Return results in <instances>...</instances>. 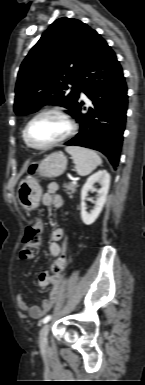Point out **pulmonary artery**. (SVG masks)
<instances>
[{
  "mask_svg": "<svg viewBox=\"0 0 145 385\" xmlns=\"http://www.w3.org/2000/svg\"><path fill=\"white\" fill-rule=\"evenodd\" d=\"M80 96H81V98H82L83 100H87V97H86V95H85L83 92H81Z\"/></svg>",
  "mask_w": 145,
  "mask_h": 385,
  "instance_id": "e3ab8cb5",
  "label": "pulmonary artery"
}]
</instances>
